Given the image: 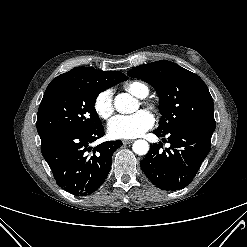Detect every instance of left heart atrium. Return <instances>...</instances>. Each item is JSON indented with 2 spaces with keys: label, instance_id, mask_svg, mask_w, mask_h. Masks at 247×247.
<instances>
[{
  "label": "left heart atrium",
  "instance_id": "39dd6f15",
  "mask_svg": "<svg viewBox=\"0 0 247 247\" xmlns=\"http://www.w3.org/2000/svg\"><path fill=\"white\" fill-rule=\"evenodd\" d=\"M154 124L153 116L146 110H139L132 115H118L108 124V133L115 139L136 138Z\"/></svg>",
  "mask_w": 247,
  "mask_h": 247
}]
</instances>
